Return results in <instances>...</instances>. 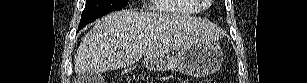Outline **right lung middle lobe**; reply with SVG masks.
Listing matches in <instances>:
<instances>
[{"instance_id":"right-lung-middle-lobe-1","label":"right lung middle lobe","mask_w":307,"mask_h":83,"mask_svg":"<svg viewBox=\"0 0 307 83\" xmlns=\"http://www.w3.org/2000/svg\"><path fill=\"white\" fill-rule=\"evenodd\" d=\"M127 4L128 0H87L79 29L94 19L100 18L113 10H119Z\"/></svg>"}]
</instances>
